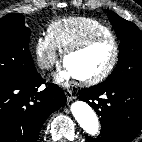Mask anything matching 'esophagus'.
Returning <instances> with one entry per match:
<instances>
[{"label": "esophagus", "instance_id": "obj_1", "mask_svg": "<svg viewBox=\"0 0 142 142\" xmlns=\"http://www.w3.org/2000/svg\"><path fill=\"white\" fill-rule=\"evenodd\" d=\"M65 95H66V98H67V101H68V102L74 100V96H73V93H72L71 90H66V91H65Z\"/></svg>", "mask_w": 142, "mask_h": 142}]
</instances>
